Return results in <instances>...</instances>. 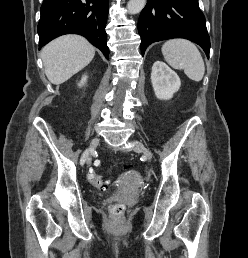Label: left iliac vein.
Here are the masks:
<instances>
[{"instance_id":"4c4485c4","label":"left iliac vein","mask_w":248,"mask_h":258,"mask_svg":"<svg viewBox=\"0 0 248 258\" xmlns=\"http://www.w3.org/2000/svg\"><path fill=\"white\" fill-rule=\"evenodd\" d=\"M133 148L135 151L138 152H142L144 154V156L148 159V160H152L153 156L152 153L150 152L149 149H147L142 143L140 142H135L133 144Z\"/></svg>"}]
</instances>
